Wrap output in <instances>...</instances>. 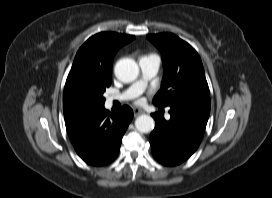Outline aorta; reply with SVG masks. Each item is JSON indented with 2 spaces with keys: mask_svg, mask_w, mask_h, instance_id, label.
I'll return each instance as SVG.
<instances>
[{
  "mask_svg": "<svg viewBox=\"0 0 272 198\" xmlns=\"http://www.w3.org/2000/svg\"><path fill=\"white\" fill-rule=\"evenodd\" d=\"M115 76L122 82L134 81L139 74V69L133 59H120L114 69ZM154 119L149 115H141L135 120V127L141 133H149L154 129Z\"/></svg>",
  "mask_w": 272,
  "mask_h": 198,
  "instance_id": "1",
  "label": "aorta"
}]
</instances>
